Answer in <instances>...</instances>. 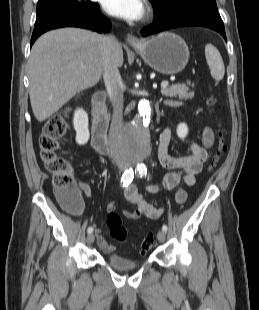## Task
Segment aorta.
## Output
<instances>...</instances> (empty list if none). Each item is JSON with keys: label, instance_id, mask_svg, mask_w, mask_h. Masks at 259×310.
I'll use <instances>...</instances> for the list:
<instances>
[{"label": "aorta", "instance_id": "obj_1", "mask_svg": "<svg viewBox=\"0 0 259 310\" xmlns=\"http://www.w3.org/2000/svg\"><path fill=\"white\" fill-rule=\"evenodd\" d=\"M151 106L148 100L139 101L136 116L122 129L119 139V149L131 160H143L150 153L149 123Z\"/></svg>", "mask_w": 259, "mask_h": 310}]
</instances>
